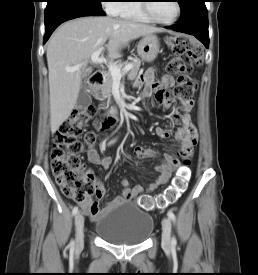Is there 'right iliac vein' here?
<instances>
[{"mask_svg": "<svg viewBox=\"0 0 258 275\" xmlns=\"http://www.w3.org/2000/svg\"><path fill=\"white\" fill-rule=\"evenodd\" d=\"M75 229H76V248L79 249L84 243V216L82 213H78L75 217Z\"/></svg>", "mask_w": 258, "mask_h": 275, "instance_id": "right-iliac-vein-1", "label": "right iliac vein"}]
</instances>
